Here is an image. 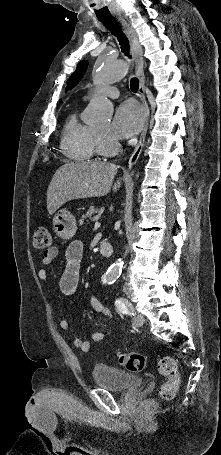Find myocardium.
<instances>
[{
	"label": "myocardium",
	"instance_id": "myocardium-1",
	"mask_svg": "<svg viewBox=\"0 0 221 455\" xmlns=\"http://www.w3.org/2000/svg\"><path fill=\"white\" fill-rule=\"evenodd\" d=\"M96 151L102 155H111L118 151L119 144L109 135L95 129Z\"/></svg>",
	"mask_w": 221,
	"mask_h": 455
}]
</instances>
